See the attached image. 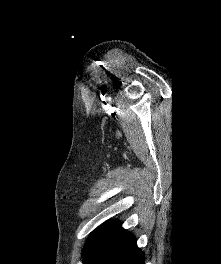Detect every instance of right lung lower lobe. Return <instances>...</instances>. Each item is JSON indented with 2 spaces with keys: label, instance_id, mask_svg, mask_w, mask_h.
<instances>
[{
  "label": "right lung lower lobe",
  "instance_id": "98d812e1",
  "mask_svg": "<svg viewBox=\"0 0 221 264\" xmlns=\"http://www.w3.org/2000/svg\"><path fill=\"white\" fill-rule=\"evenodd\" d=\"M84 264H143L135 237L119 222L105 223L85 249Z\"/></svg>",
  "mask_w": 221,
  "mask_h": 264
}]
</instances>
